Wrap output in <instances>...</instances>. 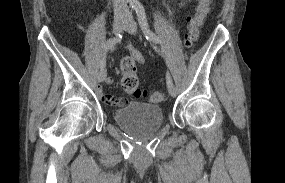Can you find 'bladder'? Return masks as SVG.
<instances>
[{"instance_id":"1","label":"bladder","mask_w":285,"mask_h":183,"mask_svg":"<svg viewBox=\"0 0 285 183\" xmlns=\"http://www.w3.org/2000/svg\"><path fill=\"white\" fill-rule=\"evenodd\" d=\"M115 122L130 132L146 133L159 129L164 122L163 109L147 103H128L114 112Z\"/></svg>"}]
</instances>
